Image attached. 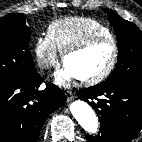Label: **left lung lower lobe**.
<instances>
[{
    "instance_id": "left-lung-lower-lobe-1",
    "label": "left lung lower lobe",
    "mask_w": 142,
    "mask_h": 142,
    "mask_svg": "<svg viewBox=\"0 0 142 142\" xmlns=\"http://www.w3.org/2000/svg\"><path fill=\"white\" fill-rule=\"evenodd\" d=\"M79 94L95 109L101 123L98 135H86L88 142H130L140 132L142 82L100 83Z\"/></svg>"
}]
</instances>
